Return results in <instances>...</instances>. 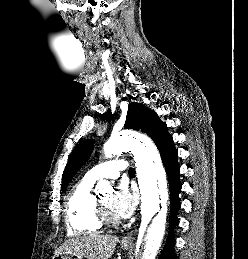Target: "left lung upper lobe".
<instances>
[{
  "instance_id": "5c2ea615",
  "label": "left lung upper lobe",
  "mask_w": 248,
  "mask_h": 259,
  "mask_svg": "<svg viewBox=\"0 0 248 259\" xmlns=\"http://www.w3.org/2000/svg\"><path fill=\"white\" fill-rule=\"evenodd\" d=\"M124 127L127 129L141 130L142 132L147 133L158 148L166 142L173 140L167 131L166 124L159 120L157 114L153 110L146 108L145 105L140 103L133 102L129 104ZM93 145V140H84L79 143L73 151L63 174L61 184L62 192H65L72 177L89 159L93 150Z\"/></svg>"
}]
</instances>
